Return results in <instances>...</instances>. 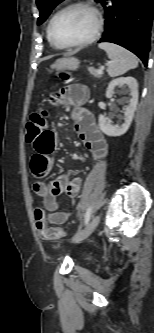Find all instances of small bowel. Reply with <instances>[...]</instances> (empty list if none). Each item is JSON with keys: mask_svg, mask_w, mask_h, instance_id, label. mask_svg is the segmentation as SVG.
Segmentation results:
<instances>
[{"mask_svg": "<svg viewBox=\"0 0 154 333\" xmlns=\"http://www.w3.org/2000/svg\"><path fill=\"white\" fill-rule=\"evenodd\" d=\"M88 98V88L77 83L65 86L58 95L60 102L74 107V128L94 159L100 160L105 158L108 153V143L97 126L93 114L82 107ZM57 142L56 133L44 128L32 143L34 154L31 158V171L34 177L41 179L50 173L53 167L52 154L57 149ZM81 186L80 179H70L67 176H60L49 184L42 181L33 184L34 193L43 200L44 209L47 211L46 221L49 224L61 225L71 217L72 209L59 210L57 197L64 193L74 204Z\"/></svg>", "mask_w": 154, "mask_h": 333, "instance_id": "obj_1", "label": "small bowel"}]
</instances>
